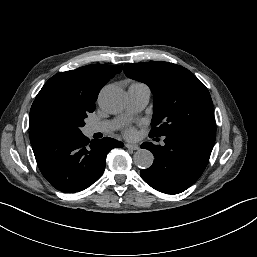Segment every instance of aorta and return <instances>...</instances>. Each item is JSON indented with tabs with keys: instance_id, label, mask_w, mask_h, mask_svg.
Instances as JSON below:
<instances>
[{
	"instance_id": "1",
	"label": "aorta",
	"mask_w": 257,
	"mask_h": 257,
	"mask_svg": "<svg viewBox=\"0 0 257 257\" xmlns=\"http://www.w3.org/2000/svg\"><path fill=\"white\" fill-rule=\"evenodd\" d=\"M126 103L124 91L116 86H105L99 94V104L107 112L116 113L123 109ZM134 163L137 167L147 169L152 166L154 156L147 149H139L134 153Z\"/></svg>"
}]
</instances>
